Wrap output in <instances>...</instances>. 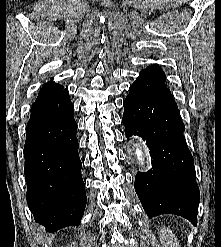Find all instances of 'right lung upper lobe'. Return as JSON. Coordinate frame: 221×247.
Masks as SVG:
<instances>
[{"label":"right lung upper lobe","mask_w":221,"mask_h":247,"mask_svg":"<svg viewBox=\"0 0 221 247\" xmlns=\"http://www.w3.org/2000/svg\"><path fill=\"white\" fill-rule=\"evenodd\" d=\"M63 90V86L53 81L47 82L40 90L37 100Z\"/></svg>","instance_id":"right-lung-upper-lobe-1"}]
</instances>
